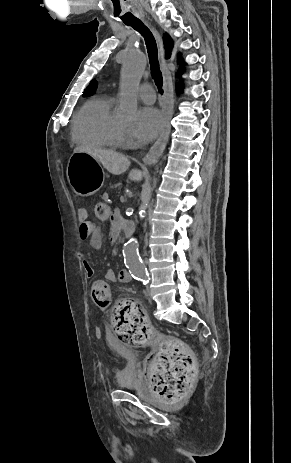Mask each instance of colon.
Wrapping results in <instances>:
<instances>
[{
    "instance_id": "obj_1",
    "label": "colon",
    "mask_w": 291,
    "mask_h": 463,
    "mask_svg": "<svg viewBox=\"0 0 291 463\" xmlns=\"http://www.w3.org/2000/svg\"><path fill=\"white\" fill-rule=\"evenodd\" d=\"M93 218L98 219L100 224L107 223V219L112 218V205L94 204ZM91 298L98 307L107 308L112 300L109 284L103 280L94 282ZM111 324L115 335L124 343H157L158 348L147 362L145 371L152 391L160 400L171 403L188 394L196 366L194 355L186 345L174 339L156 338L144 310L129 300L118 301L114 305Z\"/></svg>"
}]
</instances>
